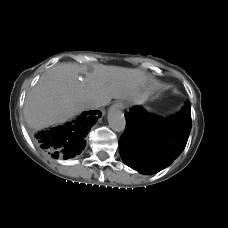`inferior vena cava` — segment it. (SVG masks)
Wrapping results in <instances>:
<instances>
[{
    "instance_id": "602c4592",
    "label": "inferior vena cava",
    "mask_w": 228,
    "mask_h": 228,
    "mask_svg": "<svg viewBox=\"0 0 228 228\" xmlns=\"http://www.w3.org/2000/svg\"><path fill=\"white\" fill-rule=\"evenodd\" d=\"M100 106H101V104H99L97 101H94V100H90V101L86 102V107L88 109H94V108H98Z\"/></svg>"
}]
</instances>
